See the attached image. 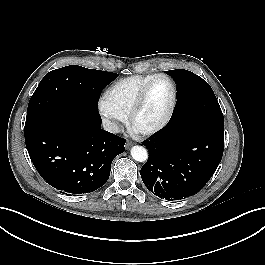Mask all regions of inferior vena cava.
Listing matches in <instances>:
<instances>
[{
    "mask_svg": "<svg viewBox=\"0 0 265 265\" xmlns=\"http://www.w3.org/2000/svg\"><path fill=\"white\" fill-rule=\"evenodd\" d=\"M102 125L104 130L110 132V133H119L120 127L115 123L108 119H103Z\"/></svg>",
    "mask_w": 265,
    "mask_h": 265,
    "instance_id": "1",
    "label": "inferior vena cava"
}]
</instances>
